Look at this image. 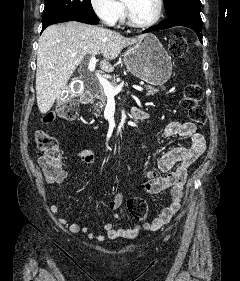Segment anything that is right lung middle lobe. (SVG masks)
Returning a JSON list of instances; mask_svg holds the SVG:
<instances>
[{"label": "right lung middle lobe", "mask_w": 240, "mask_h": 281, "mask_svg": "<svg viewBox=\"0 0 240 281\" xmlns=\"http://www.w3.org/2000/svg\"><path fill=\"white\" fill-rule=\"evenodd\" d=\"M64 17L98 18L90 0H45L43 25Z\"/></svg>", "instance_id": "right-lung-middle-lobe-1"}]
</instances>
